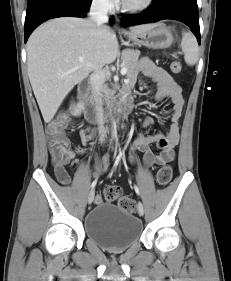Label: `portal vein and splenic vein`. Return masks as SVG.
<instances>
[{
  "mask_svg": "<svg viewBox=\"0 0 231 281\" xmlns=\"http://www.w3.org/2000/svg\"><path fill=\"white\" fill-rule=\"evenodd\" d=\"M81 62H84L83 59H80ZM121 75H126L127 73V68L123 67L120 71Z\"/></svg>",
  "mask_w": 231,
  "mask_h": 281,
  "instance_id": "portal-vein-and-splenic-vein-1",
  "label": "portal vein and splenic vein"
}]
</instances>
